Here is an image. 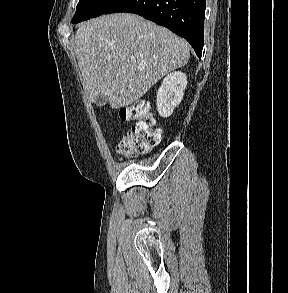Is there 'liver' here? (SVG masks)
Listing matches in <instances>:
<instances>
[{"label":"liver","instance_id":"6515ba94","mask_svg":"<svg viewBox=\"0 0 288 293\" xmlns=\"http://www.w3.org/2000/svg\"><path fill=\"white\" fill-rule=\"evenodd\" d=\"M74 50L89 101L103 94L114 109L137 101L190 57L185 40L130 13L102 15L82 23Z\"/></svg>","mask_w":288,"mask_h":293}]
</instances>
